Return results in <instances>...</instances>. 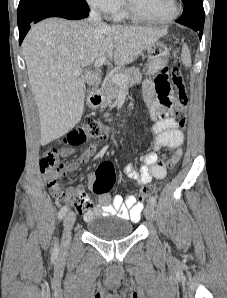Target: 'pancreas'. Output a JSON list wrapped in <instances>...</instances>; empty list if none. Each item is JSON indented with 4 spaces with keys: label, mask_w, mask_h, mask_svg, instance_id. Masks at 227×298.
<instances>
[{
    "label": "pancreas",
    "mask_w": 227,
    "mask_h": 298,
    "mask_svg": "<svg viewBox=\"0 0 227 298\" xmlns=\"http://www.w3.org/2000/svg\"><path fill=\"white\" fill-rule=\"evenodd\" d=\"M116 74L122 75L126 79L125 84H117L112 80V77L108 78L102 86V94L104 96L101 108H106L109 106L113 100H115L122 89L127 90L128 88L134 86L141 82L142 74L139 68L130 67L120 69Z\"/></svg>",
    "instance_id": "cf45deb5"
}]
</instances>
